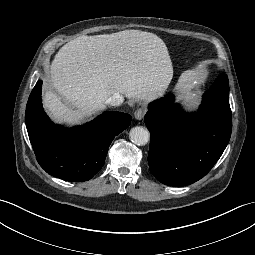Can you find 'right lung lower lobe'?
<instances>
[{"label":"right lung lower lobe","mask_w":255,"mask_h":255,"mask_svg":"<svg viewBox=\"0 0 255 255\" xmlns=\"http://www.w3.org/2000/svg\"><path fill=\"white\" fill-rule=\"evenodd\" d=\"M41 90L39 80L29 96L25 114L38 163L47 173L65 181L91 179L104 165L112 140L130 125L131 116L104 112L83 126L64 128L53 124L44 112Z\"/></svg>","instance_id":"98d812e1"}]
</instances>
